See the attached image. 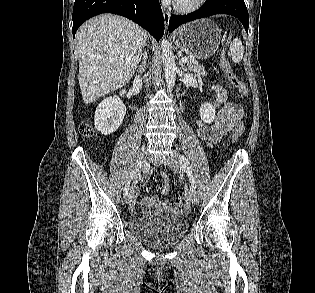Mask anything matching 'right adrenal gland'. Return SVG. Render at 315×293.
Wrapping results in <instances>:
<instances>
[{
  "mask_svg": "<svg viewBox=\"0 0 315 293\" xmlns=\"http://www.w3.org/2000/svg\"><path fill=\"white\" fill-rule=\"evenodd\" d=\"M146 60H147V53L144 52V53H143V58H142L141 64L139 65V67H138V69H137V72H138V73H141L142 71H144L145 66H146Z\"/></svg>",
  "mask_w": 315,
  "mask_h": 293,
  "instance_id": "right-adrenal-gland-1",
  "label": "right adrenal gland"
}]
</instances>
